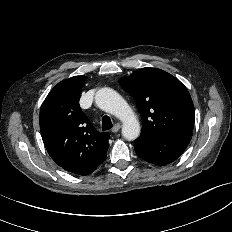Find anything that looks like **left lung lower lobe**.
<instances>
[{
	"mask_svg": "<svg viewBox=\"0 0 232 232\" xmlns=\"http://www.w3.org/2000/svg\"><path fill=\"white\" fill-rule=\"evenodd\" d=\"M191 139L185 137H138L134 148L140 158L164 166L175 161L184 152Z\"/></svg>",
	"mask_w": 232,
	"mask_h": 232,
	"instance_id": "obj_1",
	"label": "left lung lower lobe"
}]
</instances>
